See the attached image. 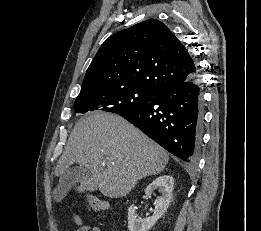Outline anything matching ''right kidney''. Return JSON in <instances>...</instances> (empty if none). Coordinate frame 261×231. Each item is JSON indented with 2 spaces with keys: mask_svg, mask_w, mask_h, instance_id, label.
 <instances>
[{
  "mask_svg": "<svg viewBox=\"0 0 261 231\" xmlns=\"http://www.w3.org/2000/svg\"><path fill=\"white\" fill-rule=\"evenodd\" d=\"M174 186V178L170 175L159 176L145 189V194L151 196L155 190L162 194L157 197L154 202L155 209L151 217L141 219L137 218L135 211L136 207L131 205L128 209V229L129 231H148L150 230L157 220L161 218L172 200V191Z\"/></svg>",
  "mask_w": 261,
  "mask_h": 231,
  "instance_id": "right-kidney-1",
  "label": "right kidney"
}]
</instances>
